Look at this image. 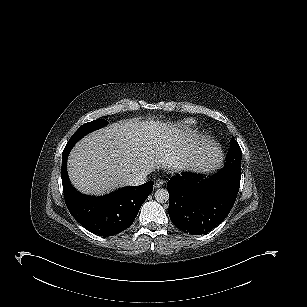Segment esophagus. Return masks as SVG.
I'll return each mask as SVG.
<instances>
[{
  "mask_svg": "<svg viewBox=\"0 0 307 307\" xmlns=\"http://www.w3.org/2000/svg\"><path fill=\"white\" fill-rule=\"evenodd\" d=\"M164 183L165 181L163 179H158L154 183V188H160Z\"/></svg>",
  "mask_w": 307,
  "mask_h": 307,
  "instance_id": "obj_1",
  "label": "esophagus"
}]
</instances>
